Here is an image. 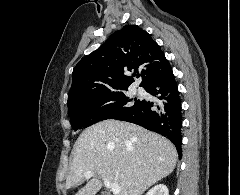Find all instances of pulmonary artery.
Here are the masks:
<instances>
[{"label": "pulmonary artery", "instance_id": "obj_1", "mask_svg": "<svg viewBox=\"0 0 240 195\" xmlns=\"http://www.w3.org/2000/svg\"><path fill=\"white\" fill-rule=\"evenodd\" d=\"M136 91L139 92V93H143V89H142L141 87H138V88L136 89Z\"/></svg>", "mask_w": 240, "mask_h": 195}]
</instances>
